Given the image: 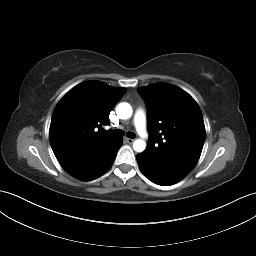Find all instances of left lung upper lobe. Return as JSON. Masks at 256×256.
Masks as SVG:
<instances>
[{
	"mask_svg": "<svg viewBox=\"0 0 256 256\" xmlns=\"http://www.w3.org/2000/svg\"><path fill=\"white\" fill-rule=\"evenodd\" d=\"M137 90L148 107L150 138L144 153L167 170L186 176L198 162L205 140L198 104L184 90L168 83Z\"/></svg>",
	"mask_w": 256,
	"mask_h": 256,
	"instance_id": "obj_1",
	"label": "left lung upper lobe"
}]
</instances>
